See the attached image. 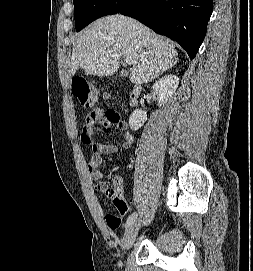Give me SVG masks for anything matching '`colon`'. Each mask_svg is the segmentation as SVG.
<instances>
[{"mask_svg": "<svg viewBox=\"0 0 253 271\" xmlns=\"http://www.w3.org/2000/svg\"><path fill=\"white\" fill-rule=\"evenodd\" d=\"M72 88L75 97L77 98L79 104L83 107H90L96 103L100 98L109 100L110 96L105 93L98 86L89 84L82 78H75L72 81ZM107 115L115 120H119V115L114 111H109ZM100 187L107 194V196L112 200L114 206L117 209V213L108 214L106 216L107 225L110 228H117L122 223V217L124 211L127 207L126 201L124 200L122 188L119 183L113 182L107 185L104 182L100 183Z\"/></svg>", "mask_w": 253, "mask_h": 271, "instance_id": "1", "label": "colon"}]
</instances>
